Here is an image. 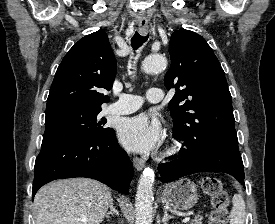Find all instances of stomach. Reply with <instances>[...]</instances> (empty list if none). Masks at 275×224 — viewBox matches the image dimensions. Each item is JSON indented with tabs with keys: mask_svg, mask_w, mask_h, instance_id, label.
<instances>
[{
	"mask_svg": "<svg viewBox=\"0 0 275 224\" xmlns=\"http://www.w3.org/2000/svg\"><path fill=\"white\" fill-rule=\"evenodd\" d=\"M197 200V187L188 178H183L167 185L161 192V201L165 206L181 211L191 209Z\"/></svg>",
	"mask_w": 275,
	"mask_h": 224,
	"instance_id": "0dacf381",
	"label": "stomach"
}]
</instances>
